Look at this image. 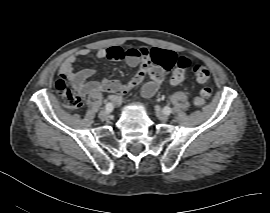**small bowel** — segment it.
Here are the masks:
<instances>
[{
    "label": "small bowel",
    "instance_id": "c3829d8e",
    "mask_svg": "<svg viewBox=\"0 0 270 213\" xmlns=\"http://www.w3.org/2000/svg\"><path fill=\"white\" fill-rule=\"evenodd\" d=\"M114 50H122L119 47H109V48H100L96 51L95 57L98 60H117L112 56ZM161 51L171 52L174 56L177 55L170 50L166 49H156ZM89 54L87 49H81L74 54L68 56L60 67V73L62 76V80L65 87L68 88V84L71 88L77 93L76 95L79 97H89L94 94L96 91L100 89H105L117 94H122L130 88L138 85L143 81L145 75H148L150 80L145 82L142 86V94L145 97L153 96L158 90L162 80L164 79L165 72L164 69L160 66H156L153 64L145 65V73L138 72L133 75L127 82L115 81V80H105L102 83L88 81L87 78L92 73L91 70H83V71H75L74 65L79 57H85ZM142 57H126V63L135 67L138 66L142 62ZM114 104L119 103V98L116 96H111L109 98Z\"/></svg>",
    "mask_w": 270,
    "mask_h": 213
}]
</instances>
